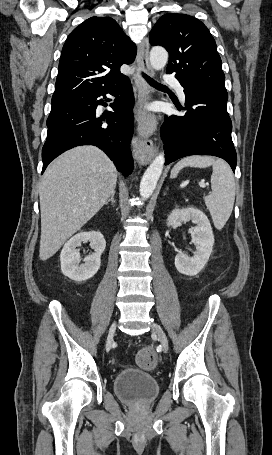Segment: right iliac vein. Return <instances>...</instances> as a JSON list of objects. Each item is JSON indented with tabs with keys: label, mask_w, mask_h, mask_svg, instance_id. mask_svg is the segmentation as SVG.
Returning <instances> with one entry per match:
<instances>
[{
	"label": "right iliac vein",
	"mask_w": 272,
	"mask_h": 455,
	"mask_svg": "<svg viewBox=\"0 0 272 455\" xmlns=\"http://www.w3.org/2000/svg\"><path fill=\"white\" fill-rule=\"evenodd\" d=\"M115 331H116V323H113L111 325V327H110L109 334H108V337H107V342H106V347L107 348H110L112 343H113Z\"/></svg>",
	"instance_id": "1"
}]
</instances>
